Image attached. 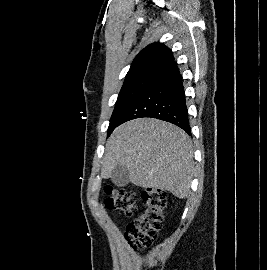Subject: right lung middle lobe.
<instances>
[{
  "label": "right lung middle lobe",
  "mask_w": 267,
  "mask_h": 270,
  "mask_svg": "<svg viewBox=\"0 0 267 270\" xmlns=\"http://www.w3.org/2000/svg\"><path fill=\"white\" fill-rule=\"evenodd\" d=\"M154 77L155 75H143L124 82L110 119L108 136L123 123L128 111L146 91Z\"/></svg>",
  "instance_id": "right-lung-middle-lobe-1"
}]
</instances>
